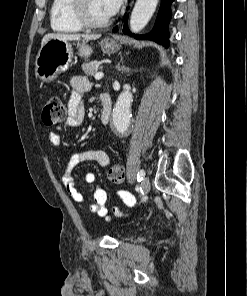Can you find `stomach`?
<instances>
[{"instance_id":"0dacf381","label":"stomach","mask_w":247,"mask_h":296,"mask_svg":"<svg viewBox=\"0 0 247 296\" xmlns=\"http://www.w3.org/2000/svg\"><path fill=\"white\" fill-rule=\"evenodd\" d=\"M103 52L113 53L120 49V46L111 38H104L100 42ZM79 54L88 57L92 49L84 41L79 44ZM73 48L68 41L50 39L41 46L35 61V75L42 82H51L59 74L65 72L72 61Z\"/></svg>"}]
</instances>
